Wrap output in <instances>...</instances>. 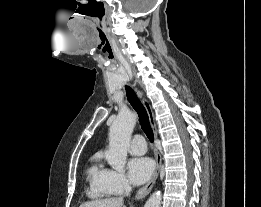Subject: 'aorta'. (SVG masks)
<instances>
[{
    "mask_svg": "<svg viewBox=\"0 0 261 207\" xmlns=\"http://www.w3.org/2000/svg\"><path fill=\"white\" fill-rule=\"evenodd\" d=\"M136 124V115L131 111L119 113L109 129V148L105 152L108 164L119 172L124 171L131 135ZM162 195L154 192L144 207H160Z\"/></svg>",
    "mask_w": 261,
    "mask_h": 207,
    "instance_id": "obj_1",
    "label": "aorta"
}]
</instances>
